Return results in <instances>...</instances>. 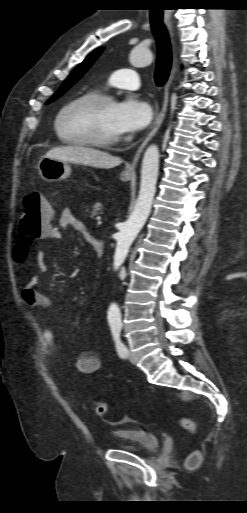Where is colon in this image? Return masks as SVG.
<instances>
[{"instance_id":"1","label":"colon","mask_w":247,"mask_h":513,"mask_svg":"<svg viewBox=\"0 0 247 513\" xmlns=\"http://www.w3.org/2000/svg\"><path fill=\"white\" fill-rule=\"evenodd\" d=\"M52 218V206L42 192L32 191L24 197L14 248V258L17 262H23L29 247L49 232L52 227ZM92 409L99 417L110 415V408L104 400L97 399L93 401ZM181 425L191 433L196 431V425L190 419H182ZM198 460L199 456L192 454L188 459V465L194 467Z\"/></svg>"}]
</instances>
